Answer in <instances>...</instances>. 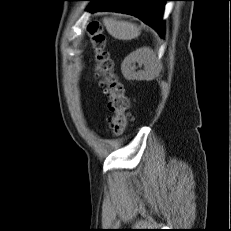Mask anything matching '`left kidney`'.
I'll return each instance as SVG.
<instances>
[{
  "label": "left kidney",
  "instance_id": "1",
  "mask_svg": "<svg viewBox=\"0 0 231 231\" xmlns=\"http://www.w3.org/2000/svg\"><path fill=\"white\" fill-rule=\"evenodd\" d=\"M135 63L144 65V69L136 72ZM121 70L127 80H152L158 75L160 66L154 52L149 47H142L136 49L124 59Z\"/></svg>",
  "mask_w": 231,
  "mask_h": 231
}]
</instances>
